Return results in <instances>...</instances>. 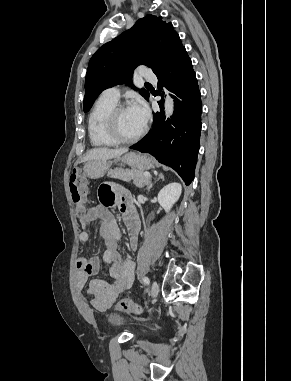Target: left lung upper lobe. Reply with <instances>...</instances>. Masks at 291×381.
<instances>
[{
  "label": "left lung upper lobe",
  "instance_id": "1",
  "mask_svg": "<svg viewBox=\"0 0 291 381\" xmlns=\"http://www.w3.org/2000/svg\"><path fill=\"white\" fill-rule=\"evenodd\" d=\"M178 33L171 22L147 15L129 30L104 44L90 59L86 79L83 110L87 112L105 89L126 83L138 65H145L156 76L183 49ZM139 93L149 98V92Z\"/></svg>",
  "mask_w": 291,
  "mask_h": 381
}]
</instances>
